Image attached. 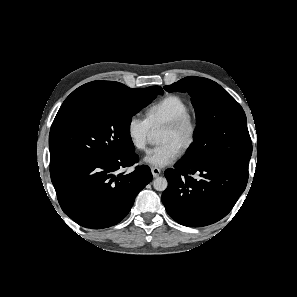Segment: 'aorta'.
Instances as JSON below:
<instances>
[{"instance_id":"1","label":"aorta","mask_w":297,"mask_h":297,"mask_svg":"<svg viewBox=\"0 0 297 297\" xmlns=\"http://www.w3.org/2000/svg\"><path fill=\"white\" fill-rule=\"evenodd\" d=\"M168 186L167 179L164 177H157L153 181V187L157 191H164Z\"/></svg>"}]
</instances>
